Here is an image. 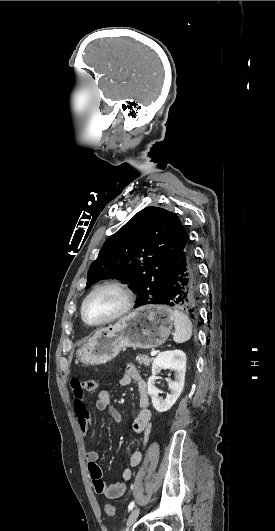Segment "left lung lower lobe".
<instances>
[{
    "mask_svg": "<svg viewBox=\"0 0 275 531\" xmlns=\"http://www.w3.org/2000/svg\"><path fill=\"white\" fill-rule=\"evenodd\" d=\"M198 282L196 257L188 239L178 258L167 292L157 304L175 307L194 317L199 305Z\"/></svg>",
    "mask_w": 275,
    "mask_h": 531,
    "instance_id": "0a47b994",
    "label": "left lung lower lobe"
}]
</instances>
